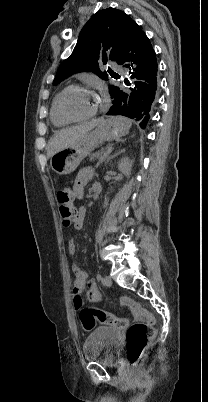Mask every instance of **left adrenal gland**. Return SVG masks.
<instances>
[{"mask_svg": "<svg viewBox=\"0 0 208 402\" xmlns=\"http://www.w3.org/2000/svg\"><path fill=\"white\" fill-rule=\"evenodd\" d=\"M122 152H125V150H121V152H118V154H122ZM118 154H113V156H108V154H107V156H108L107 162H109V160H112V158H116V156H118ZM107 162H106V164H107Z\"/></svg>", "mask_w": 208, "mask_h": 402, "instance_id": "obj_1", "label": "left adrenal gland"}]
</instances>
